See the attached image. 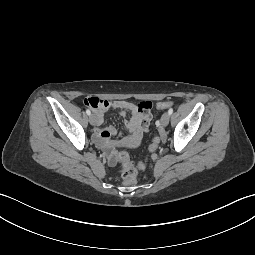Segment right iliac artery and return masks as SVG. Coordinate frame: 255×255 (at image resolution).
<instances>
[{
	"instance_id": "obj_1",
	"label": "right iliac artery",
	"mask_w": 255,
	"mask_h": 255,
	"mask_svg": "<svg viewBox=\"0 0 255 255\" xmlns=\"http://www.w3.org/2000/svg\"><path fill=\"white\" fill-rule=\"evenodd\" d=\"M86 113H87V115H89V116L91 115V112H90L89 109L86 110Z\"/></svg>"
}]
</instances>
